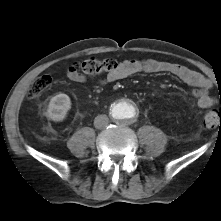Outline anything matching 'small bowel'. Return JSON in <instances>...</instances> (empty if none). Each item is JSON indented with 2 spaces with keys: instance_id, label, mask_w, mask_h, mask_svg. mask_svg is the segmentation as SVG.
Returning <instances> with one entry per match:
<instances>
[{
  "instance_id": "small-bowel-1",
  "label": "small bowel",
  "mask_w": 221,
  "mask_h": 221,
  "mask_svg": "<svg viewBox=\"0 0 221 221\" xmlns=\"http://www.w3.org/2000/svg\"><path fill=\"white\" fill-rule=\"evenodd\" d=\"M138 73H165L175 76L179 80L195 87L193 95L195 105L206 109L215 104V100L209 95L212 82L202 74L179 64L161 62L155 60L129 59L120 63L118 69L102 80V83L114 82ZM68 80L75 83H83L85 76L75 68L70 67L66 72Z\"/></svg>"
}]
</instances>
